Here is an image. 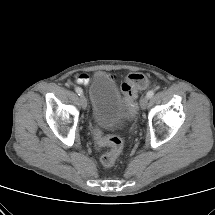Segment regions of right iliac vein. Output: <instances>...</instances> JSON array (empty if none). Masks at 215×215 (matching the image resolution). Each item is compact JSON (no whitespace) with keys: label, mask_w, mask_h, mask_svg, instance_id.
<instances>
[{"label":"right iliac vein","mask_w":215,"mask_h":215,"mask_svg":"<svg viewBox=\"0 0 215 215\" xmlns=\"http://www.w3.org/2000/svg\"><path fill=\"white\" fill-rule=\"evenodd\" d=\"M80 102H81L82 108L86 109L87 108V100H86L85 96L81 95Z\"/></svg>","instance_id":"63e3f726"}]
</instances>
